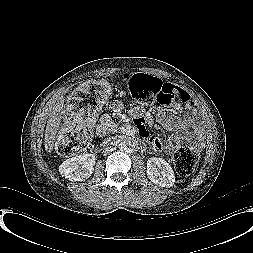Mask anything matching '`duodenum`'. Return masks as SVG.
Masks as SVG:
<instances>
[{
	"instance_id": "duodenum-1",
	"label": "duodenum",
	"mask_w": 253,
	"mask_h": 253,
	"mask_svg": "<svg viewBox=\"0 0 253 253\" xmlns=\"http://www.w3.org/2000/svg\"><path fill=\"white\" fill-rule=\"evenodd\" d=\"M121 142H127V143H129L130 145H133V146L136 145L135 141H131L125 135H123L122 137H117L114 140H112L111 142L106 143L105 145L116 146V145L120 144Z\"/></svg>"
}]
</instances>
